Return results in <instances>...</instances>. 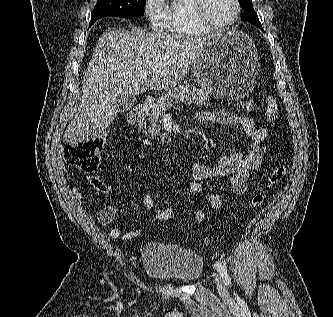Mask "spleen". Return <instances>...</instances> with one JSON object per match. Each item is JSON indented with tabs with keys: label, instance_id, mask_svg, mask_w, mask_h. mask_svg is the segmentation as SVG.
<instances>
[{
	"label": "spleen",
	"instance_id": "obj_1",
	"mask_svg": "<svg viewBox=\"0 0 333 317\" xmlns=\"http://www.w3.org/2000/svg\"><path fill=\"white\" fill-rule=\"evenodd\" d=\"M267 110H266V117L267 119L270 121V120H273L275 118V116L277 115L278 113V106H277V103H276V100L272 97V96H268L267 97Z\"/></svg>",
	"mask_w": 333,
	"mask_h": 317
}]
</instances>
